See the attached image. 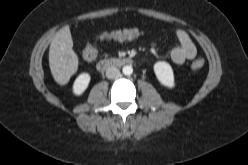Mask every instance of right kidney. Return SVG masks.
<instances>
[{
	"mask_svg": "<svg viewBox=\"0 0 248 165\" xmlns=\"http://www.w3.org/2000/svg\"><path fill=\"white\" fill-rule=\"evenodd\" d=\"M91 77L88 73L80 74L73 84V93L75 95H81L88 87Z\"/></svg>",
	"mask_w": 248,
	"mask_h": 165,
	"instance_id": "right-kidney-1",
	"label": "right kidney"
}]
</instances>
